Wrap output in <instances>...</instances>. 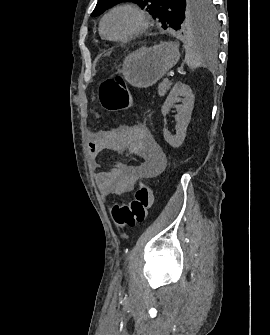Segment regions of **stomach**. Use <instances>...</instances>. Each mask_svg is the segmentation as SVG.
<instances>
[{"label": "stomach", "instance_id": "stomach-1", "mask_svg": "<svg viewBox=\"0 0 270 335\" xmlns=\"http://www.w3.org/2000/svg\"><path fill=\"white\" fill-rule=\"evenodd\" d=\"M180 58L177 42H160L152 48H139L126 56L122 74L134 88H149L177 64Z\"/></svg>", "mask_w": 270, "mask_h": 335}]
</instances>
